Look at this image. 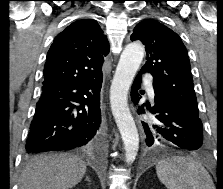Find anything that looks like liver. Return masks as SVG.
Masks as SVG:
<instances>
[{"label":"liver","instance_id":"1","mask_svg":"<svg viewBox=\"0 0 223 189\" xmlns=\"http://www.w3.org/2000/svg\"><path fill=\"white\" fill-rule=\"evenodd\" d=\"M86 168L82 159L69 154L35 157L23 169L19 189H69L82 180Z\"/></svg>","mask_w":223,"mask_h":189}]
</instances>
